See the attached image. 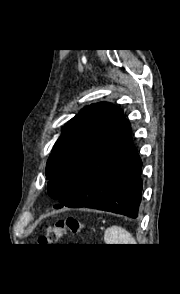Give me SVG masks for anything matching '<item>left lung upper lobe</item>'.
Wrapping results in <instances>:
<instances>
[{"instance_id":"left-lung-upper-lobe-1","label":"left lung upper lobe","mask_w":180,"mask_h":294,"mask_svg":"<svg viewBox=\"0 0 180 294\" xmlns=\"http://www.w3.org/2000/svg\"><path fill=\"white\" fill-rule=\"evenodd\" d=\"M118 107L101 102L84 107L62 128L46 165L48 194L60 200L122 118Z\"/></svg>"}]
</instances>
